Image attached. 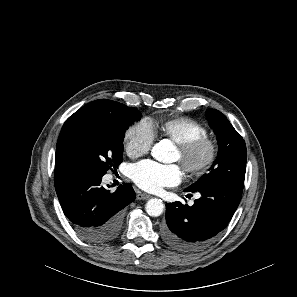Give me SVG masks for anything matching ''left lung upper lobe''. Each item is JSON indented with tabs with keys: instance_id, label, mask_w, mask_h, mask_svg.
I'll return each mask as SVG.
<instances>
[{
	"instance_id": "obj_1",
	"label": "left lung upper lobe",
	"mask_w": 297,
	"mask_h": 297,
	"mask_svg": "<svg viewBox=\"0 0 297 297\" xmlns=\"http://www.w3.org/2000/svg\"><path fill=\"white\" fill-rule=\"evenodd\" d=\"M206 117L217 135L218 155L209 172L186 189L194 190L213 183L243 185L246 171V145L243 138L220 111L208 109Z\"/></svg>"
}]
</instances>
